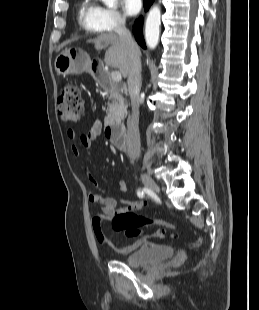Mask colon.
I'll return each mask as SVG.
<instances>
[{
	"label": "colon",
	"instance_id": "1",
	"mask_svg": "<svg viewBox=\"0 0 259 310\" xmlns=\"http://www.w3.org/2000/svg\"><path fill=\"white\" fill-rule=\"evenodd\" d=\"M84 104L81 91L77 84L67 83L58 98L57 111L60 117L66 121H77L81 118ZM147 225L159 227L153 232V236L165 239L167 230L175 229V224L164 219L148 218L138 215L133 211L119 212L112 218L111 226L114 232L124 233L125 236L132 238L141 235V228ZM200 244V239L190 243V248H195Z\"/></svg>",
	"mask_w": 259,
	"mask_h": 310
}]
</instances>
